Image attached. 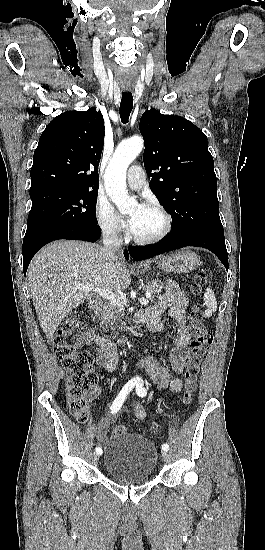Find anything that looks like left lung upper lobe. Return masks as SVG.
<instances>
[{
	"label": "left lung upper lobe",
	"mask_w": 265,
	"mask_h": 550,
	"mask_svg": "<svg viewBox=\"0 0 265 550\" xmlns=\"http://www.w3.org/2000/svg\"><path fill=\"white\" fill-rule=\"evenodd\" d=\"M139 128L149 186L172 217L169 235L202 232L224 239L206 135L189 120L156 109L143 113Z\"/></svg>",
	"instance_id": "obj_1"
}]
</instances>
